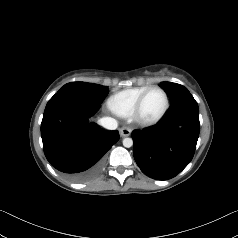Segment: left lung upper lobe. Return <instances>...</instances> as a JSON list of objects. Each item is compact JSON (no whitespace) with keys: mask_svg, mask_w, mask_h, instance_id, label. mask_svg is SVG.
I'll list each match as a JSON object with an SVG mask.
<instances>
[{"mask_svg":"<svg viewBox=\"0 0 238 238\" xmlns=\"http://www.w3.org/2000/svg\"><path fill=\"white\" fill-rule=\"evenodd\" d=\"M161 85L168 92L171 103L181 96L188 94L189 91L182 85L172 82H161Z\"/></svg>","mask_w":238,"mask_h":238,"instance_id":"1","label":"left lung upper lobe"}]
</instances>
